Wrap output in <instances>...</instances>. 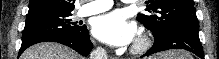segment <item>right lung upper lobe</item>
<instances>
[{"mask_svg": "<svg viewBox=\"0 0 219 59\" xmlns=\"http://www.w3.org/2000/svg\"><path fill=\"white\" fill-rule=\"evenodd\" d=\"M74 2L75 0H30L28 13L37 10H58L71 12L74 10Z\"/></svg>", "mask_w": 219, "mask_h": 59, "instance_id": "obj_1", "label": "right lung upper lobe"}]
</instances>
